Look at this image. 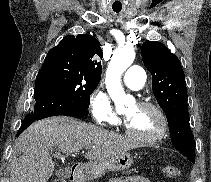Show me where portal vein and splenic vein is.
Masks as SVG:
<instances>
[{
  "mask_svg": "<svg viewBox=\"0 0 211 182\" xmlns=\"http://www.w3.org/2000/svg\"><path fill=\"white\" fill-rule=\"evenodd\" d=\"M94 148V147H93ZM87 150L91 149L90 147H86Z\"/></svg>",
  "mask_w": 211,
  "mask_h": 182,
  "instance_id": "obj_1",
  "label": "portal vein and splenic vein"
}]
</instances>
